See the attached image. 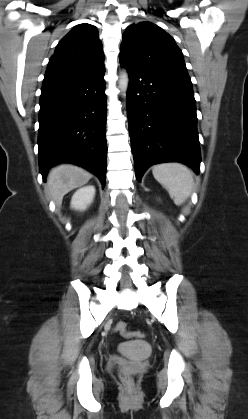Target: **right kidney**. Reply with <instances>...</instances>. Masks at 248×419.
Masks as SVG:
<instances>
[{
    "label": "right kidney",
    "instance_id": "right-kidney-1",
    "mask_svg": "<svg viewBox=\"0 0 248 419\" xmlns=\"http://www.w3.org/2000/svg\"><path fill=\"white\" fill-rule=\"evenodd\" d=\"M95 196L94 186H85L78 189L72 196L71 208L79 211L86 210L93 202Z\"/></svg>",
    "mask_w": 248,
    "mask_h": 419
}]
</instances>
